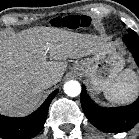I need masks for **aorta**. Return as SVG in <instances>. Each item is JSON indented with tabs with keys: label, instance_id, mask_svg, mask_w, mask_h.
I'll return each mask as SVG.
<instances>
[{
	"label": "aorta",
	"instance_id": "762f6f07",
	"mask_svg": "<svg viewBox=\"0 0 139 139\" xmlns=\"http://www.w3.org/2000/svg\"><path fill=\"white\" fill-rule=\"evenodd\" d=\"M63 89L65 94L69 97H77L81 93V85L75 80L66 82Z\"/></svg>",
	"mask_w": 139,
	"mask_h": 139
}]
</instances>
